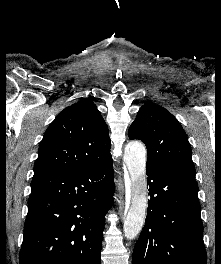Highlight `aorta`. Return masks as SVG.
I'll list each match as a JSON object with an SVG mask.
<instances>
[{"label": "aorta", "instance_id": "aorta-1", "mask_svg": "<svg viewBox=\"0 0 221 264\" xmlns=\"http://www.w3.org/2000/svg\"><path fill=\"white\" fill-rule=\"evenodd\" d=\"M124 162L129 174L126 190L131 200L124 221V235L128 240H132L141 232L146 219L145 146L137 141L129 142L124 149Z\"/></svg>", "mask_w": 221, "mask_h": 264}]
</instances>
